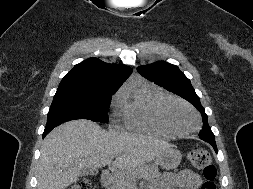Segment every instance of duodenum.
Returning a JSON list of instances; mask_svg holds the SVG:
<instances>
[{"label":"duodenum","mask_w":253,"mask_h":189,"mask_svg":"<svg viewBox=\"0 0 253 189\" xmlns=\"http://www.w3.org/2000/svg\"><path fill=\"white\" fill-rule=\"evenodd\" d=\"M113 181V172L111 170H104L101 175V183L104 187L111 185Z\"/></svg>","instance_id":"410a0bca"}]
</instances>
